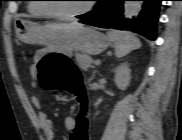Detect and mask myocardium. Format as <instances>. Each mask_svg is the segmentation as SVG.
<instances>
[{
	"mask_svg": "<svg viewBox=\"0 0 182 140\" xmlns=\"http://www.w3.org/2000/svg\"><path fill=\"white\" fill-rule=\"evenodd\" d=\"M47 1H53V0H47ZM45 8L48 11L50 16L58 18V19L69 20V19L78 18V17L88 13L92 8V3L89 2L81 10L72 12V13H66V12L60 11L56 7V4H52V3L45 4Z\"/></svg>",
	"mask_w": 182,
	"mask_h": 140,
	"instance_id": "f54148a6",
	"label": "myocardium"
}]
</instances>
